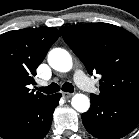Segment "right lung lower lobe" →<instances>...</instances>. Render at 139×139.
<instances>
[{"instance_id":"obj_1","label":"right lung lower lobe","mask_w":139,"mask_h":139,"mask_svg":"<svg viewBox=\"0 0 139 139\" xmlns=\"http://www.w3.org/2000/svg\"><path fill=\"white\" fill-rule=\"evenodd\" d=\"M60 98V93L50 95L31 108L1 118L0 136L3 139H43L51 127Z\"/></svg>"}]
</instances>
